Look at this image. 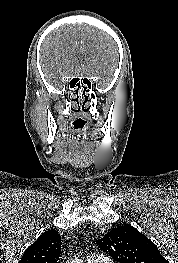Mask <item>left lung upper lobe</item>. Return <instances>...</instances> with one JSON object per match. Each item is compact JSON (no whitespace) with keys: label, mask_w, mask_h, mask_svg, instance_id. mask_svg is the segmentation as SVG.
<instances>
[{"label":"left lung upper lobe","mask_w":178,"mask_h":263,"mask_svg":"<svg viewBox=\"0 0 178 263\" xmlns=\"http://www.w3.org/2000/svg\"><path fill=\"white\" fill-rule=\"evenodd\" d=\"M96 244L119 263H169L151 240L128 224L111 230Z\"/></svg>","instance_id":"obj_1"}]
</instances>
